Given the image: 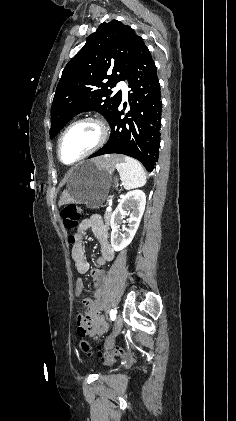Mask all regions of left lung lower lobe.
I'll return each mask as SVG.
<instances>
[{"mask_svg": "<svg viewBox=\"0 0 236 421\" xmlns=\"http://www.w3.org/2000/svg\"><path fill=\"white\" fill-rule=\"evenodd\" d=\"M126 79L131 88L128 93L130 110L122 117L127 103H122L121 99L109 121V141L89 158L124 154L136 158L152 172L159 157L162 103L156 66L145 44L138 48Z\"/></svg>", "mask_w": 236, "mask_h": 421, "instance_id": "0a47b994", "label": "left lung lower lobe"}]
</instances>
